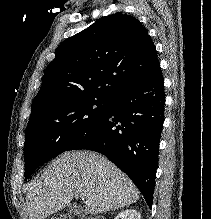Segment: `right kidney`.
<instances>
[{"instance_id":"1","label":"right kidney","mask_w":211,"mask_h":219,"mask_svg":"<svg viewBox=\"0 0 211 219\" xmlns=\"http://www.w3.org/2000/svg\"><path fill=\"white\" fill-rule=\"evenodd\" d=\"M115 219H141V215L134 209H126L120 212Z\"/></svg>"}]
</instances>
